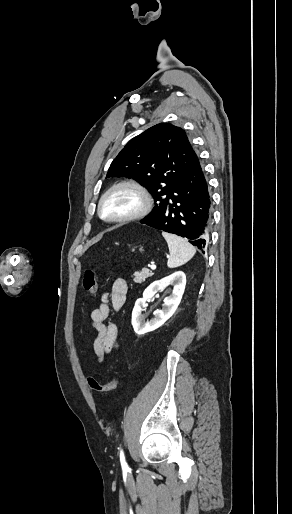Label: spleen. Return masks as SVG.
<instances>
[{
  "instance_id": "3e777b00",
  "label": "spleen",
  "mask_w": 292,
  "mask_h": 514,
  "mask_svg": "<svg viewBox=\"0 0 292 514\" xmlns=\"http://www.w3.org/2000/svg\"><path fill=\"white\" fill-rule=\"evenodd\" d=\"M162 236L165 238L170 252L167 262L168 268L183 266L195 256L196 250L194 246L189 244L188 240L175 236V234H167V232H162Z\"/></svg>"
}]
</instances>
